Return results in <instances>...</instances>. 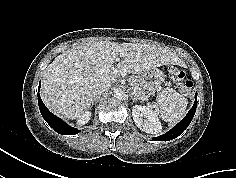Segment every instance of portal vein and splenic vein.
I'll return each instance as SVG.
<instances>
[{
    "label": "portal vein and splenic vein",
    "mask_w": 236,
    "mask_h": 178,
    "mask_svg": "<svg viewBox=\"0 0 236 178\" xmlns=\"http://www.w3.org/2000/svg\"><path fill=\"white\" fill-rule=\"evenodd\" d=\"M117 61H119V59H117ZM112 65H110V64H106V65H104V69H108V68H110ZM140 99H142V100H146L147 98L146 97H140Z\"/></svg>",
    "instance_id": "portal-vein-and-splenic-vein-1"
}]
</instances>
